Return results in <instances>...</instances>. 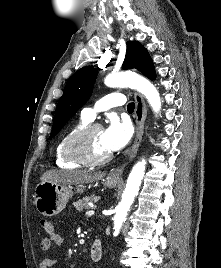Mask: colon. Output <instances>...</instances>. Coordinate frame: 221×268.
<instances>
[{
    "mask_svg": "<svg viewBox=\"0 0 221 268\" xmlns=\"http://www.w3.org/2000/svg\"><path fill=\"white\" fill-rule=\"evenodd\" d=\"M40 225L46 233L51 232L54 229L53 223L46 218L40 220Z\"/></svg>",
    "mask_w": 221,
    "mask_h": 268,
    "instance_id": "colon-1",
    "label": "colon"
}]
</instances>
